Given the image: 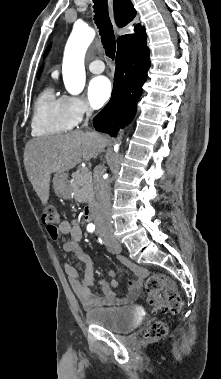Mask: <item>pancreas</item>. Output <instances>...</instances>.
Instances as JSON below:
<instances>
[{
  "label": "pancreas",
  "instance_id": "cf45deb5",
  "mask_svg": "<svg viewBox=\"0 0 221 379\" xmlns=\"http://www.w3.org/2000/svg\"><path fill=\"white\" fill-rule=\"evenodd\" d=\"M69 188L79 202H91L94 199L92 175L86 168H80L72 175Z\"/></svg>",
  "mask_w": 221,
  "mask_h": 379
}]
</instances>
